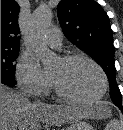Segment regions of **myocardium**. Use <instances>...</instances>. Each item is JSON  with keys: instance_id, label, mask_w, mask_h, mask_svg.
I'll list each match as a JSON object with an SVG mask.
<instances>
[{"instance_id": "1", "label": "myocardium", "mask_w": 123, "mask_h": 130, "mask_svg": "<svg viewBox=\"0 0 123 130\" xmlns=\"http://www.w3.org/2000/svg\"><path fill=\"white\" fill-rule=\"evenodd\" d=\"M60 59L63 62H71L74 60L87 61L97 69V71L99 72L101 79H102V89L99 94H97L96 96L90 97V98H76V97H73V96L67 94L60 87V85L56 82V80L52 76H49L52 88H53L55 94L60 99L66 101V102H69V103L88 104V103L96 102L104 97V95L106 94V92L108 90V78H107V75H106L104 69L100 66V64L98 62H96L93 58H91L85 54H81V53H69V54L62 56Z\"/></svg>"}]
</instances>
